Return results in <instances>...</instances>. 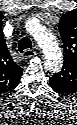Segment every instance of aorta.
Wrapping results in <instances>:
<instances>
[{
    "mask_svg": "<svg viewBox=\"0 0 77 125\" xmlns=\"http://www.w3.org/2000/svg\"><path fill=\"white\" fill-rule=\"evenodd\" d=\"M35 38L45 55V66L49 70H58L62 63V54L56 37L48 30L39 28Z\"/></svg>",
    "mask_w": 77,
    "mask_h": 125,
    "instance_id": "obj_1",
    "label": "aorta"
}]
</instances>
